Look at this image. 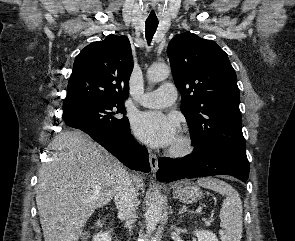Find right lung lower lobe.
<instances>
[{
  "mask_svg": "<svg viewBox=\"0 0 295 241\" xmlns=\"http://www.w3.org/2000/svg\"><path fill=\"white\" fill-rule=\"evenodd\" d=\"M78 129L90 135L128 168L146 173L150 171L148 152L134 139L130 128L122 133L99 126H83Z\"/></svg>",
  "mask_w": 295,
  "mask_h": 241,
  "instance_id": "1",
  "label": "right lung lower lobe"
}]
</instances>
